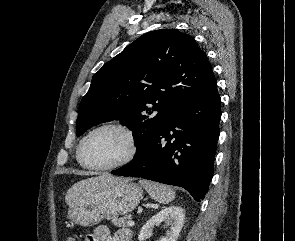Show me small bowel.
<instances>
[{"mask_svg": "<svg viewBox=\"0 0 295 241\" xmlns=\"http://www.w3.org/2000/svg\"><path fill=\"white\" fill-rule=\"evenodd\" d=\"M84 241H131V232L126 229L111 233L108 227L98 226Z\"/></svg>", "mask_w": 295, "mask_h": 241, "instance_id": "c3829d8e", "label": "small bowel"}]
</instances>
